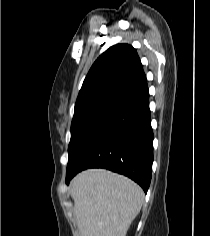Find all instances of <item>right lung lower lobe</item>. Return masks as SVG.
Segmentation results:
<instances>
[{
	"mask_svg": "<svg viewBox=\"0 0 210 236\" xmlns=\"http://www.w3.org/2000/svg\"><path fill=\"white\" fill-rule=\"evenodd\" d=\"M153 132L147 82L131 91L81 142L68 162L66 183L87 168L128 176L147 192L152 174Z\"/></svg>",
	"mask_w": 210,
	"mask_h": 236,
	"instance_id": "obj_1",
	"label": "right lung lower lobe"
}]
</instances>
